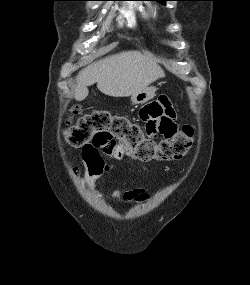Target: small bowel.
Here are the masks:
<instances>
[{"label": "small bowel", "mask_w": 250, "mask_h": 285, "mask_svg": "<svg viewBox=\"0 0 250 285\" xmlns=\"http://www.w3.org/2000/svg\"><path fill=\"white\" fill-rule=\"evenodd\" d=\"M139 115L143 121L142 133L144 136H152V141H165V136H176L178 133L175 124V111L165 97L146 104L140 110ZM124 154V146L120 145L113 156L120 159ZM82 159L87 167L86 178L88 182L95 181L104 172L110 170V166L104 162L97 149H82ZM147 198L148 194L144 188H137L124 193L116 190L113 193L114 200L123 199L125 202H143Z\"/></svg>", "instance_id": "obj_1"}]
</instances>
